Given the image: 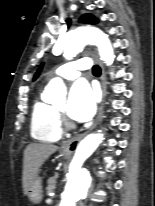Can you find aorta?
Wrapping results in <instances>:
<instances>
[{
	"label": "aorta",
	"instance_id": "obj_1",
	"mask_svg": "<svg viewBox=\"0 0 155 206\" xmlns=\"http://www.w3.org/2000/svg\"><path fill=\"white\" fill-rule=\"evenodd\" d=\"M87 44L96 45L101 59L108 66L113 64L115 55L108 36L94 27H79L71 31L66 37L64 57L72 59ZM45 94L49 102H58L64 96L63 81L60 78H53L46 87ZM103 139V134L98 132L89 134L79 143L70 164L68 181L61 195L59 206H76L77 202L87 195L90 175L82 168V165Z\"/></svg>",
	"mask_w": 155,
	"mask_h": 206
}]
</instances>
